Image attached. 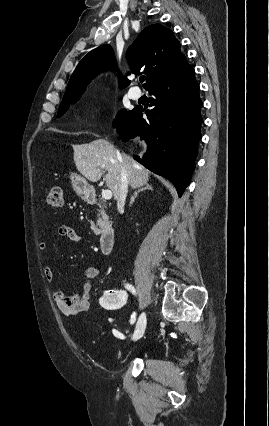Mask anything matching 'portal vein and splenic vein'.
Returning <instances> with one entry per match:
<instances>
[{"instance_id": "portal-vein-and-splenic-vein-1", "label": "portal vein and splenic vein", "mask_w": 269, "mask_h": 426, "mask_svg": "<svg viewBox=\"0 0 269 426\" xmlns=\"http://www.w3.org/2000/svg\"><path fill=\"white\" fill-rule=\"evenodd\" d=\"M102 198L105 199V200H110L112 198L111 190H103L102 191Z\"/></svg>"}]
</instances>
